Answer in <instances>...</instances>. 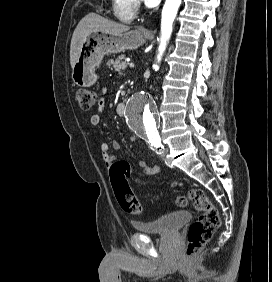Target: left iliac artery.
I'll return each instance as SVG.
<instances>
[{"label":"left iliac artery","instance_id":"obj_1","mask_svg":"<svg viewBox=\"0 0 272 282\" xmlns=\"http://www.w3.org/2000/svg\"><path fill=\"white\" fill-rule=\"evenodd\" d=\"M150 143H151V146H152L153 148H156V149H158V148H163V146H162V144H161L160 138H159V139L152 140V141H150Z\"/></svg>","mask_w":272,"mask_h":282}]
</instances>
